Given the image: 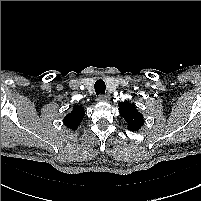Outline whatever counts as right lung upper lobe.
<instances>
[{
    "label": "right lung upper lobe",
    "mask_w": 201,
    "mask_h": 201,
    "mask_svg": "<svg viewBox=\"0 0 201 201\" xmlns=\"http://www.w3.org/2000/svg\"><path fill=\"white\" fill-rule=\"evenodd\" d=\"M85 111L80 106H74L71 113L67 114L63 120L64 125L72 130H76L82 122Z\"/></svg>",
    "instance_id": "right-lung-upper-lobe-1"
}]
</instances>
